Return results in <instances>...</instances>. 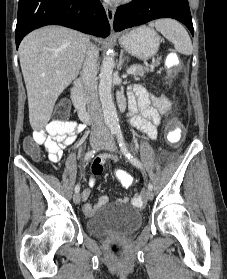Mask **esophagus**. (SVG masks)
<instances>
[{"label":"esophagus","mask_w":227,"mask_h":279,"mask_svg":"<svg viewBox=\"0 0 227 279\" xmlns=\"http://www.w3.org/2000/svg\"><path fill=\"white\" fill-rule=\"evenodd\" d=\"M106 16L108 18V21L110 23L111 28H113V22H114V9L112 8L111 5L108 3L103 4Z\"/></svg>","instance_id":"esophagus-1"}]
</instances>
